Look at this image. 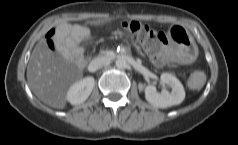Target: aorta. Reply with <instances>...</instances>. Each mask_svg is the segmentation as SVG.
<instances>
[{
  "mask_svg": "<svg viewBox=\"0 0 238 145\" xmlns=\"http://www.w3.org/2000/svg\"><path fill=\"white\" fill-rule=\"evenodd\" d=\"M115 66L118 69H125L127 67V61L124 58H119L116 60Z\"/></svg>",
  "mask_w": 238,
  "mask_h": 145,
  "instance_id": "obj_1",
  "label": "aorta"
}]
</instances>
